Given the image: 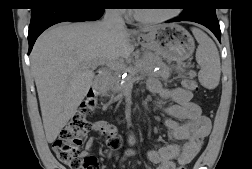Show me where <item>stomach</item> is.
Listing matches in <instances>:
<instances>
[{
	"instance_id": "1",
	"label": "stomach",
	"mask_w": 252,
	"mask_h": 169,
	"mask_svg": "<svg viewBox=\"0 0 252 169\" xmlns=\"http://www.w3.org/2000/svg\"><path fill=\"white\" fill-rule=\"evenodd\" d=\"M139 43L169 62L189 58L195 49L194 39L182 26L166 24L138 36Z\"/></svg>"
}]
</instances>
